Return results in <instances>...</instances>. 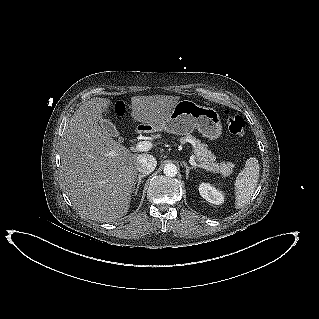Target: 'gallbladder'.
<instances>
[{"instance_id":"bac80fb5","label":"gallbladder","mask_w":319,"mask_h":319,"mask_svg":"<svg viewBox=\"0 0 319 319\" xmlns=\"http://www.w3.org/2000/svg\"><path fill=\"white\" fill-rule=\"evenodd\" d=\"M101 127L108 132L112 137L117 138L119 142H123V138L120 136V133L117 131L115 125L108 119L101 118L99 120Z\"/></svg>"}]
</instances>
